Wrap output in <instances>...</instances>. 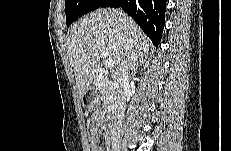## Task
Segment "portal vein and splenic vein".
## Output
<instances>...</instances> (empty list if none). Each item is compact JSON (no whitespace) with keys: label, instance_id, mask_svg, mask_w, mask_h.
<instances>
[{"label":"portal vein and splenic vein","instance_id":"1","mask_svg":"<svg viewBox=\"0 0 231 151\" xmlns=\"http://www.w3.org/2000/svg\"><path fill=\"white\" fill-rule=\"evenodd\" d=\"M101 57L104 58V65L108 69H112L114 67V62L110 58H108V52L107 51H102L101 52Z\"/></svg>","mask_w":231,"mask_h":151}]
</instances>
